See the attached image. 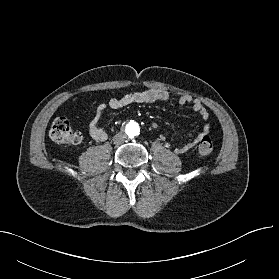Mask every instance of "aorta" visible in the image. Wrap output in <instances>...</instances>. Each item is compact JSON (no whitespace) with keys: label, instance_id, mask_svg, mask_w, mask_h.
<instances>
[{"label":"aorta","instance_id":"1","mask_svg":"<svg viewBox=\"0 0 279 279\" xmlns=\"http://www.w3.org/2000/svg\"><path fill=\"white\" fill-rule=\"evenodd\" d=\"M125 130L130 137H134L139 134V124L135 121H130L125 125Z\"/></svg>","mask_w":279,"mask_h":279}]
</instances>
